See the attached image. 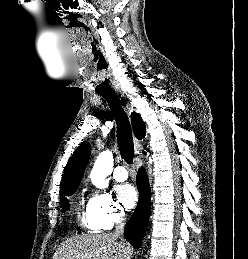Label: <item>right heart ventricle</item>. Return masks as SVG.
Returning <instances> with one entry per match:
<instances>
[{"label":"right heart ventricle","mask_w":248,"mask_h":259,"mask_svg":"<svg viewBox=\"0 0 248 259\" xmlns=\"http://www.w3.org/2000/svg\"><path fill=\"white\" fill-rule=\"evenodd\" d=\"M77 220L82 226H85L92 230H96L91 223L90 215L87 208L86 210L78 209Z\"/></svg>","instance_id":"obj_1"}]
</instances>
